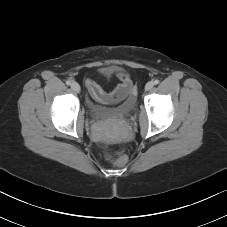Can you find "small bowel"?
<instances>
[{"instance_id": "c3829d8e", "label": "small bowel", "mask_w": 227, "mask_h": 227, "mask_svg": "<svg viewBox=\"0 0 227 227\" xmlns=\"http://www.w3.org/2000/svg\"><path fill=\"white\" fill-rule=\"evenodd\" d=\"M103 74L106 76L115 74L119 80V84L112 92L106 93L94 80L87 79L85 84L93 100L103 104L119 103L132 95L133 86L128 73L118 70L115 67H107L103 70Z\"/></svg>"}]
</instances>
